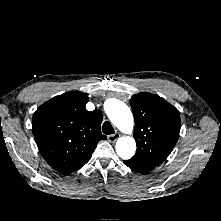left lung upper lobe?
<instances>
[{
    "label": "left lung upper lobe",
    "mask_w": 221,
    "mask_h": 221,
    "mask_svg": "<svg viewBox=\"0 0 221 221\" xmlns=\"http://www.w3.org/2000/svg\"><path fill=\"white\" fill-rule=\"evenodd\" d=\"M137 151L132 160L158 166L171 153L180 132L179 111L162 97L139 93L132 96Z\"/></svg>",
    "instance_id": "left-lung-upper-lobe-1"
}]
</instances>
